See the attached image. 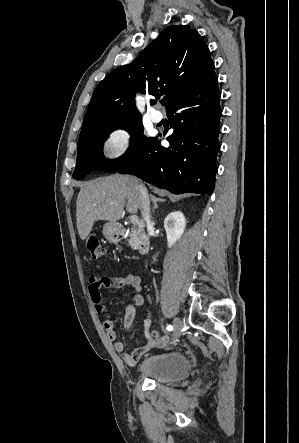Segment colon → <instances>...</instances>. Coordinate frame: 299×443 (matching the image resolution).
<instances>
[{
	"label": "colon",
	"mask_w": 299,
	"mask_h": 443,
	"mask_svg": "<svg viewBox=\"0 0 299 443\" xmlns=\"http://www.w3.org/2000/svg\"><path fill=\"white\" fill-rule=\"evenodd\" d=\"M86 247L90 256L94 259L102 258L105 255L104 247L101 245L98 237L94 234L87 236Z\"/></svg>",
	"instance_id": "1"
}]
</instances>
